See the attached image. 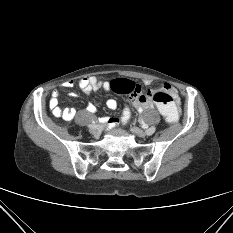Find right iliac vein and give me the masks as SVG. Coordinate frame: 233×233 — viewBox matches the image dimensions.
<instances>
[{
  "mask_svg": "<svg viewBox=\"0 0 233 233\" xmlns=\"http://www.w3.org/2000/svg\"><path fill=\"white\" fill-rule=\"evenodd\" d=\"M89 131L93 136L98 137L101 134L102 128H94L93 127V128H90Z\"/></svg>",
  "mask_w": 233,
  "mask_h": 233,
  "instance_id": "1",
  "label": "right iliac vein"
}]
</instances>
